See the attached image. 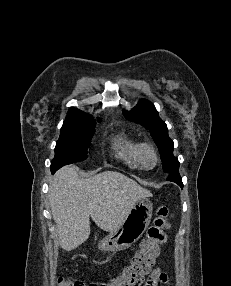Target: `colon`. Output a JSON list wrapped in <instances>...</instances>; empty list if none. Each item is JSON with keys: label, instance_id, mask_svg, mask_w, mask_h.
Masks as SVG:
<instances>
[{"label": "colon", "instance_id": "obj_1", "mask_svg": "<svg viewBox=\"0 0 231 286\" xmlns=\"http://www.w3.org/2000/svg\"><path fill=\"white\" fill-rule=\"evenodd\" d=\"M171 219L172 214L168 208H158L156 218L141 241L139 249L118 276L108 281L89 284L59 279V286H140L160 254V247L166 241Z\"/></svg>", "mask_w": 231, "mask_h": 286}]
</instances>
